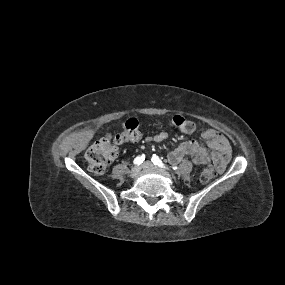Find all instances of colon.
<instances>
[{
  "label": "colon",
  "instance_id": "colon-1",
  "mask_svg": "<svg viewBox=\"0 0 285 285\" xmlns=\"http://www.w3.org/2000/svg\"><path fill=\"white\" fill-rule=\"evenodd\" d=\"M172 124L185 134H192L196 129L195 123L182 115L174 116ZM140 137L139 121L135 118L127 120L113 138H102L90 146L85 154L88 169L95 174H103L116 157V146L138 141ZM215 176L214 167L208 165L202 171L200 180L202 183H208Z\"/></svg>",
  "mask_w": 285,
  "mask_h": 285
}]
</instances>
